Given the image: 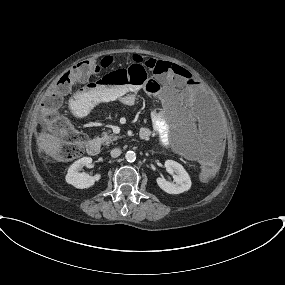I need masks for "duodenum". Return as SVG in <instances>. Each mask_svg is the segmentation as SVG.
<instances>
[{
  "mask_svg": "<svg viewBox=\"0 0 285 285\" xmlns=\"http://www.w3.org/2000/svg\"><path fill=\"white\" fill-rule=\"evenodd\" d=\"M101 142L98 139H92L87 144V151L90 155H97L100 152Z\"/></svg>",
  "mask_w": 285,
  "mask_h": 285,
  "instance_id": "410a0bca",
  "label": "duodenum"
}]
</instances>
